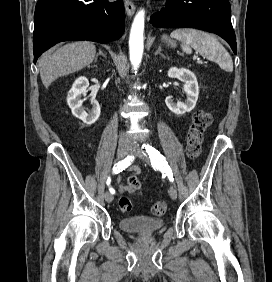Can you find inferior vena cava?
<instances>
[{"label":"inferior vena cava","mask_w":272,"mask_h":282,"mask_svg":"<svg viewBox=\"0 0 272 282\" xmlns=\"http://www.w3.org/2000/svg\"><path fill=\"white\" fill-rule=\"evenodd\" d=\"M124 138H126V135H125L124 133H121V134H120V139L122 140V139H124Z\"/></svg>","instance_id":"1"}]
</instances>
